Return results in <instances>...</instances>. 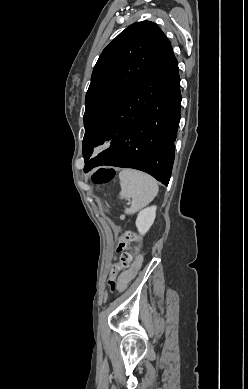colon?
Returning <instances> with one entry per match:
<instances>
[{
	"label": "colon",
	"mask_w": 248,
	"mask_h": 389,
	"mask_svg": "<svg viewBox=\"0 0 248 389\" xmlns=\"http://www.w3.org/2000/svg\"><path fill=\"white\" fill-rule=\"evenodd\" d=\"M114 177H115V173L111 169L100 168L93 173L91 178L92 181L96 184L108 185L113 181ZM139 241L140 238L136 233L128 231L124 234L123 238L120 240L118 245V250L121 251L128 243H138ZM135 253L136 251L122 252L119 262L112 266L110 279L108 282L110 290L113 291L115 290L116 287H118L115 278L118 273L126 270L130 266Z\"/></svg>",
	"instance_id": "5ec220e1"
}]
</instances>
